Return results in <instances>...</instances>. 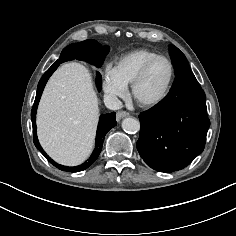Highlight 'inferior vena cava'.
Returning a JSON list of instances; mask_svg holds the SVG:
<instances>
[{
  "instance_id": "602c4592",
  "label": "inferior vena cava",
  "mask_w": 236,
  "mask_h": 236,
  "mask_svg": "<svg viewBox=\"0 0 236 236\" xmlns=\"http://www.w3.org/2000/svg\"><path fill=\"white\" fill-rule=\"evenodd\" d=\"M104 103H105V106L111 110H118L122 108L121 101L114 95H105Z\"/></svg>"
}]
</instances>
